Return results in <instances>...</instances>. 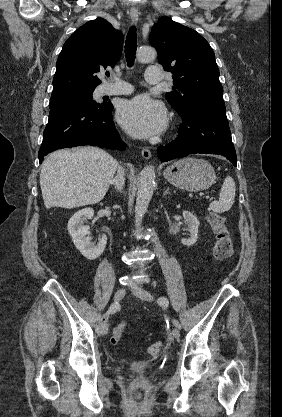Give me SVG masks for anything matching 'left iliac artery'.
<instances>
[{"label":"left iliac artery","mask_w":282,"mask_h":417,"mask_svg":"<svg viewBox=\"0 0 282 417\" xmlns=\"http://www.w3.org/2000/svg\"><path fill=\"white\" fill-rule=\"evenodd\" d=\"M157 302H158V304H159L161 307H163V308H167V307H168V305H169V301H168V299H167L166 297H164V296L159 297ZM173 324H174V325H175L178 329H181V324L179 323V321H178V320L173 319Z\"/></svg>","instance_id":"44dca946"}]
</instances>
